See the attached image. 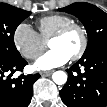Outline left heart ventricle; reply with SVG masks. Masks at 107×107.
Wrapping results in <instances>:
<instances>
[{"label":"left heart ventricle","mask_w":107,"mask_h":107,"mask_svg":"<svg viewBox=\"0 0 107 107\" xmlns=\"http://www.w3.org/2000/svg\"><path fill=\"white\" fill-rule=\"evenodd\" d=\"M82 43V36L79 30L73 29L63 38L55 39L49 42V48L60 49L70 57L78 51Z\"/></svg>","instance_id":"obj_1"}]
</instances>
